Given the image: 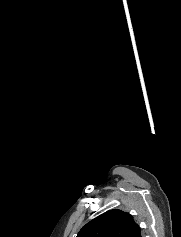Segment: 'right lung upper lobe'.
I'll use <instances>...</instances> for the list:
<instances>
[{
    "instance_id": "1",
    "label": "right lung upper lobe",
    "mask_w": 181,
    "mask_h": 237,
    "mask_svg": "<svg viewBox=\"0 0 181 237\" xmlns=\"http://www.w3.org/2000/svg\"><path fill=\"white\" fill-rule=\"evenodd\" d=\"M77 237H141V234L130 214L113 209L83 226Z\"/></svg>"
}]
</instances>
